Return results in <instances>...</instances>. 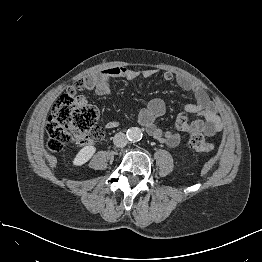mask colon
<instances>
[{
	"label": "colon",
	"mask_w": 262,
	"mask_h": 262,
	"mask_svg": "<svg viewBox=\"0 0 262 262\" xmlns=\"http://www.w3.org/2000/svg\"><path fill=\"white\" fill-rule=\"evenodd\" d=\"M83 80L68 87L66 94L56 101L47 119L45 142L53 152L61 151L68 142L85 145L101 136L100 130L95 127L98 120L97 108L77 95ZM189 146L202 154H210L214 149L213 143L200 132L191 134Z\"/></svg>",
	"instance_id": "5ec220e1"
}]
</instances>
